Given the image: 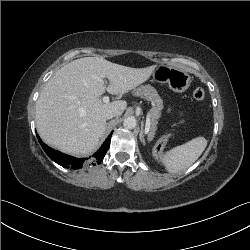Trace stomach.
<instances>
[{
	"mask_svg": "<svg viewBox=\"0 0 250 250\" xmlns=\"http://www.w3.org/2000/svg\"><path fill=\"white\" fill-rule=\"evenodd\" d=\"M153 76L157 81L167 83L177 93L186 91L191 83V77L185 70L166 65L158 66Z\"/></svg>",
	"mask_w": 250,
	"mask_h": 250,
	"instance_id": "obj_1",
	"label": "stomach"
}]
</instances>
